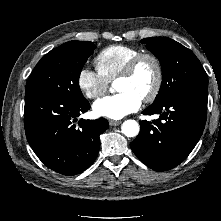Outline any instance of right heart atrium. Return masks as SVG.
<instances>
[{"instance_id":"right-heart-atrium-1","label":"right heart atrium","mask_w":221,"mask_h":221,"mask_svg":"<svg viewBox=\"0 0 221 221\" xmlns=\"http://www.w3.org/2000/svg\"><path fill=\"white\" fill-rule=\"evenodd\" d=\"M77 86L86 98L97 99L107 91L109 81L98 71L84 67L78 73Z\"/></svg>"}]
</instances>
